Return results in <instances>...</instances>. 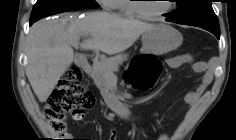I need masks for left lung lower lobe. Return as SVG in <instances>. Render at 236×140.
<instances>
[{
  "instance_id": "obj_1",
  "label": "left lung lower lobe",
  "mask_w": 236,
  "mask_h": 140,
  "mask_svg": "<svg viewBox=\"0 0 236 140\" xmlns=\"http://www.w3.org/2000/svg\"><path fill=\"white\" fill-rule=\"evenodd\" d=\"M166 21H169V20H168V19H166ZM170 22H171V21H170ZM216 37L219 39V38H220V35H217Z\"/></svg>"
}]
</instances>
